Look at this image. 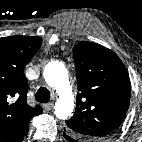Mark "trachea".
I'll return each mask as SVG.
<instances>
[{"label":"trachea","mask_w":142,"mask_h":142,"mask_svg":"<svg viewBox=\"0 0 142 142\" xmlns=\"http://www.w3.org/2000/svg\"><path fill=\"white\" fill-rule=\"evenodd\" d=\"M35 99L40 103H47L50 101V92L45 87H40L36 92Z\"/></svg>","instance_id":"1"}]
</instances>
